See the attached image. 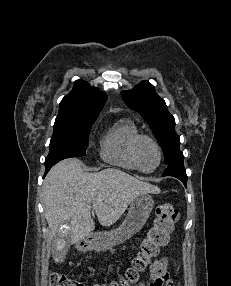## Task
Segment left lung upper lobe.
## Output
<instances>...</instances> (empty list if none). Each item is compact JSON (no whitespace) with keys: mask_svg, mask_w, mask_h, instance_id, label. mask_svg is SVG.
Wrapping results in <instances>:
<instances>
[{"mask_svg":"<svg viewBox=\"0 0 231 286\" xmlns=\"http://www.w3.org/2000/svg\"><path fill=\"white\" fill-rule=\"evenodd\" d=\"M128 107L140 113L150 126L162 147L165 164H170L180 157V138L175 132V119L168 112L165 101L155 92L147 81L136 85L130 91L121 93Z\"/></svg>","mask_w":231,"mask_h":286,"instance_id":"5c2ea615","label":"left lung upper lobe"}]
</instances>
